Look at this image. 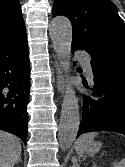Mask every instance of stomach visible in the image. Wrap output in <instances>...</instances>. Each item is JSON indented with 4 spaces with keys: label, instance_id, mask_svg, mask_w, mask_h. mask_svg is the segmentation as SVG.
Wrapping results in <instances>:
<instances>
[{
    "label": "stomach",
    "instance_id": "stomach-1",
    "mask_svg": "<svg viewBox=\"0 0 125 167\" xmlns=\"http://www.w3.org/2000/svg\"><path fill=\"white\" fill-rule=\"evenodd\" d=\"M100 148H101V143L98 141L92 140L91 142H89L85 152L89 155H94L99 151Z\"/></svg>",
    "mask_w": 125,
    "mask_h": 167
}]
</instances>
